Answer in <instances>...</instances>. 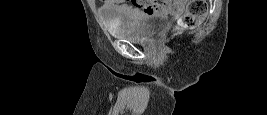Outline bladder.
Listing matches in <instances>:
<instances>
[{"label": "bladder", "mask_w": 267, "mask_h": 115, "mask_svg": "<svg viewBox=\"0 0 267 115\" xmlns=\"http://www.w3.org/2000/svg\"><path fill=\"white\" fill-rule=\"evenodd\" d=\"M170 23V17L165 14H142L134 23L108 25L109 32L120 39L130 42H146L162 32Z\"/></svg>", "instance_id": "bladder-1"}]
</instances>
